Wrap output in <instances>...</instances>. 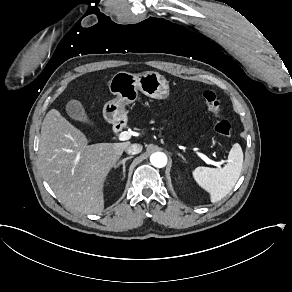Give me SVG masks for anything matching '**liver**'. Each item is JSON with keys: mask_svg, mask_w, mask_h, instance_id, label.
<instances>
[{"mask_svg": "<svg viewBox=\"0 0 292 292\" xmlns=\"http://www.w3.org/2000/svg\"><path fill=\"white\" fill-rule=\"evenodd\" d=\"M129 145V141L88 145L86 136L52 109L41 127L40 169L66 209L100 213L106 176Z\"/></svg>", "mask_w": 292, "mask_h": 292, "instance_id": "obj_1", "label": "liver"}]
</instances>
